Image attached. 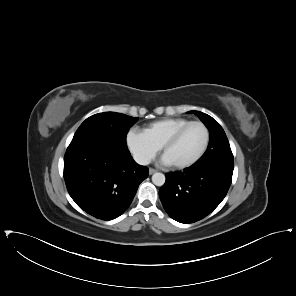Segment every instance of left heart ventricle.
I'll use <instances>...</instances> for the list:
<instances>
[{
	"label": "left heart ventricle",
	"mask_w": 296,
	"mask_h": 296,
	"mask_svg": "<svg viewBox=\"0 0 296 296\" xmlns=\"http://www.w3.org/2000/svg\"><path fill=\"white\" fill-rule=\"evenodd\" d=\"M205 133L201 126L188 127L165 152L164 156L171 164L192 159L202 148Z\"/></svg>",
	"instance_id": "left-heart-ventricle-1"
}]
</instances>
